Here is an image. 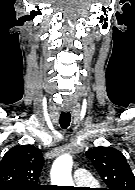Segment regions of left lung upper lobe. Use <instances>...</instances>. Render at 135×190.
Segmentation results:
<instances>
[{
    "label": "left lung upper lobe",
    "mask_w": 135,
    "mask_h": 190,
    "mask_svg": "<svg viewBox=\"0 0 135 190\" xmlns=\"http://www.w3.org/2000/svg\"><path fill=\"white\" fill-rule=\"evenodd\" d=\"M101 178L105 190H135V177L125 156L112 147H95L86 152Z\"/></svg>",
    "instance_id": "5c2ea615"
}]
</instances>
